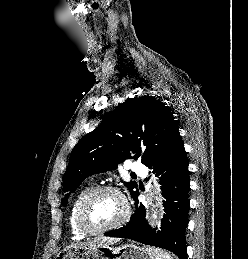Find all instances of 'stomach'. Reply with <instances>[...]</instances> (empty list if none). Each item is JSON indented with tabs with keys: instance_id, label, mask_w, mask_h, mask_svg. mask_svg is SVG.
Listing matches in <instances>:
<instances>
[{
	"instance_id": "obj_1",
	"label": "stomach",
	"mask_w": 248,
	"mask_h": 259,
	"mask_svg": "<svg viewBox=\"0 0 248 259\" xmlns=\"http://www.w3.org/2000/svg\"><path fill=\"white\" fill-rule=\"evenodd\" d=\"M155 248L134 244L111 245L96 248L69 246L60 251L55 259H156Z\"/></svg>"
}]
</instances>
